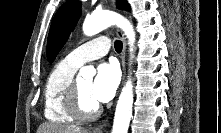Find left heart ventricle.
I'll return each mask as SVG.
<instances>
[{"label": "left heart ventricle", "mask_w": 221, "mask_h": 133, "mask_svg": "<svg viewBox=\"0 0 221 133\" xmlns=\"http://www.w3.org/2000/svg\"><path fill=\"white\" fill-rule=\"evenodd\" d=\"M77 84L80 90L81 99L84 107L87 110H91L96 104V102L93 100L91 96L92 80L90 79L80 80L77 82Z\"/></svg>", "instance_id": "left-heart-ventricle-1"}]
</instances>
